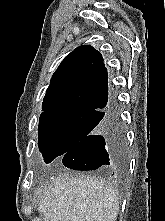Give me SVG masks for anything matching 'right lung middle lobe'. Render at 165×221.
Instances as JSON below:
<instances>
[{"label": "right lung middle lobe", "mask_w": 165, "mask_h": 221, "mask_svg": "<svg viewBox=\"0 0 165 221\" xmlns=\"http://www.w3.org/2000/svg\"><path fill=\"white\" fill-rule=\"evenodd\" d=\"M100 111L45 112L39 121V150L46 163L63 156L101 122Z\"/></svg>", "instance_id": "dd1d6c3e"}]
</instances>
